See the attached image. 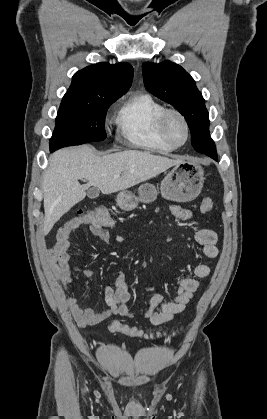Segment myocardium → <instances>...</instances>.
<instances>
[{
  "label": "myocardium",
  "mask_w": 267,
  "mask_h": 419,
  "mask_svg": "<svg viewBox=\"0 0 267 419\" xmlns=\"http://www.w3.org/2000/svg\"><path fill=\"white\" fill-rule=\"evenodd\" d=\"M171 116H176L177 118H179L185 128V139L180 144L174 143L169 137L168 132H167V123ZM157 127H158V133L161 139L167 145H169L170 147L174 149L183 146L188 141L189 136H190V127H189L188 121L186 117L184 116V114L176 108H165L158 117Z\"/></svg>",
  "instance_id": "myocardium-1"
}]
</instances>
